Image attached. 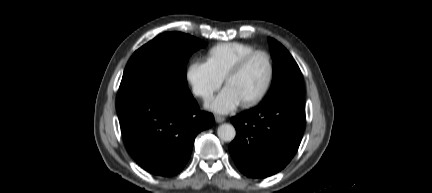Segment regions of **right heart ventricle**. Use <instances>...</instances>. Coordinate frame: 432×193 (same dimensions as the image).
Instances as JSON below:
<instances>
[{
  "label": "right heart ventricle",
  "instance_id": "1",
  "mask_svg": "<svg viewBox=\"0 0 432 193\" xmlns=\"http://www.w3.org/2000/svg\"><path fill=\"white\" fill-rule=\"evenodd\" d=\"M255 49V46L247 43L217 44L208 51L206 62L211 70L223 80L239 60Z\"/></svg>",
  "mask_w": 432,
  "mask_h": 193
}]
</instances>
